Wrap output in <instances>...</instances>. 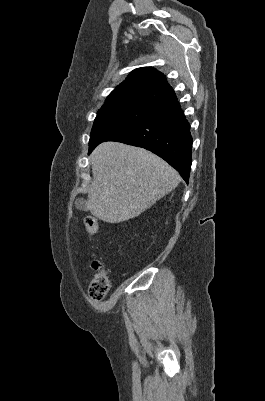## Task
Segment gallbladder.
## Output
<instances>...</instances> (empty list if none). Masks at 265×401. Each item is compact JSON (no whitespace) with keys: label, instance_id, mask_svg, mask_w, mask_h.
Wrapping results in <instances>:
<instances>
[{"label":"gallbladder","instance_id":"obj_1","mask_svg":"<svg viewBox=\"0 0 265 401\" xmlns=\"http://www.w3.org/2000/svg\"><path fill=\"white\" fill-rule=\"evenodd\" d=\"M75 207L76 209H79V211H87L86 201H84V198H76Z\"/></svg>","mask_w":265,"mask_h":401}]
</instances>
